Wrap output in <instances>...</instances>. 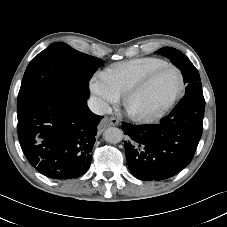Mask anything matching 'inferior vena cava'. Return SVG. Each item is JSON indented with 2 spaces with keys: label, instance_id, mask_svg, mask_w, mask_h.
<instances>
[{
  "label": "inferior vena cava",
  "instance_id": "inferior-vena-cava-1",
  "mask_svg": "<svg viewBox=\"0 0 227 227\" xmlns=\"http://www.w3.org/2000/svg\"><path fill=\"white\" fill-rule=\"evenodd\" d=\"M88 107L93 113L97 115H105L111 110L108 103L97 97H91L88 100Z\"/></svg>",
  "mask_w": 227,
  "mask_h": 227
}]
</instances>
